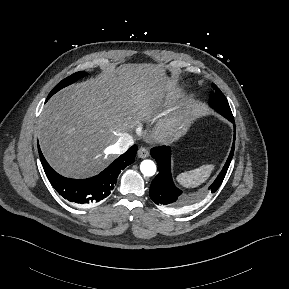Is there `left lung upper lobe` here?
I'll use <instances>...</instances> for the list:
<instances>
[{"instance_id":"obj_1","label":"left lung upper lobe","mask_w":289,"mask_h":289,"mask_svg":"<svg viewBox=\"0 0 289 289\" xmlns=\"http://www.w3.org/2000/svg\"><path fill=\"white\" fill-rule=\"evenodd\" d=\"M212 87L215 91L210 94V106L223 116L228 117L229 115H232L230 106L224 94L215 84H212Z\"/></svg>"}]
</instances>
